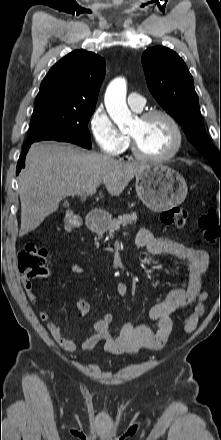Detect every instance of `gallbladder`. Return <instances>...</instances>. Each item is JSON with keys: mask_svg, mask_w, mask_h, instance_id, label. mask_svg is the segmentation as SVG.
<instances>
[{"mask_svg": "<svg viewBox=\"0 0 221 440\" xmlns=\"http://www.w3.org/2000/svg\"><path fill=\"white\" fill-rule=\"evenodd\" d=\"M67 205H69V204H68V202H67V201H65V202H64V206H67Z\"/></svg>", "mask_w": 221, "mask_h": 440, "instance_id": "obj_1", "label": "gallbladder"}]
</instances>
